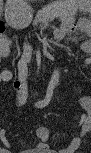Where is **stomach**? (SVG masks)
I'll list each match as a JSON object with an SVG mask.
<instances>
[{
  "instance_id": "0dacf381",
  "label": "stomach",
  "mask_w": 91,
  "mask_h": 153,
  "mask_svg": "<svg viewBox=\"0 0 91 153\" xmlns=\"http://www.w3.org/2000/svg\"><path fill=\"white\" fill-rule=\"evenodd\" d=\"M90 1L88 0H70L69 4L74 8V9H79L81 10L84 7L89 6Z\"/></svg>"
}]
</instances>
